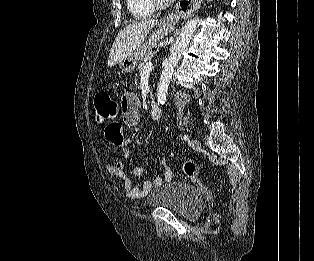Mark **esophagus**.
<instances>
[{"label":"esophagus","mask_w":314,"mask_h":261,"mask_svg":"<svg viewBox=\"0 0 314 261\" xmlns=\"http://www.w3.org/2000/svg\"><path fill=\"white\" fill-rule=\"evenodd\" d=\"M191 1H193V4H188V2H186L187 4L186 10H183L180 7V5H177L176 10H175V15H179L182 17H189L194 11H196L199 8L203 0H191Z\"/></svg>","instance_id":"obj_1"}]
</instances>
